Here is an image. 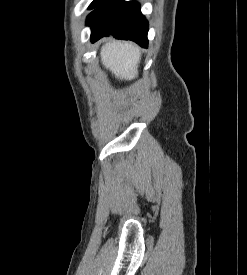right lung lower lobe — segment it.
<instances>
[{
	"mask_svg": "<svg viewBox=\"0 0 247 275\" xmlns=\"http://www.w3.org/2000/svg\"><path fill=\"white\" fill-rule=\"evenodd\" d=\"M87 24L91 26L92 42L110 34L117 39L132 40L142 47L148 45V22L137 2L108 0L89 14Z\"/></svg>",
	"mask_w": 247,
	"mask_h": 275,
	"instance_id": "1",
	"label": "right lung lower lobe"
}]
</instances>
